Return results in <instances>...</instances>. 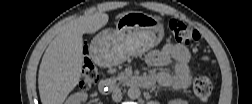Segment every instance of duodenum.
<instances>
[{"instance_id": "duodenum-1", "label": "duodenum", "mask_w": 252, "mask_h": 104, "mask_svg": "<svg viewBox=\"0 0 252 104\" xmlns=\"http://www.w3.org/2000/svg\"><path fill=\"white\" fill-rule=\"evenodd\" d=\"M132 86H138L142 88H150L154 84V78L152 76H135L128 77L126 79ZM116 85L113 79H102L99 82L98 88L101 92H108L112 87Z\"/></svg>"}]
</instances>
